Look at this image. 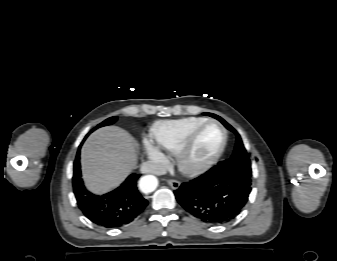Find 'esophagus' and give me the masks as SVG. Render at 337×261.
<instances>
[{
  "instance_id": "esophagus-1",
  "label": "esophagus",
  "mask_w": 337,
  "mask_h": 261,
  "mask_svg": "<svg viewBox=\"0 0 337 261\" xmlns=\"http://www.w3.org/2000/svg\"><path fill=\"white\" fill-rule=\"evenodd\" d=\"M167 183L172 189H178L180 187V182L174 179H169Z\"/></svg>"
}]
</instances>
